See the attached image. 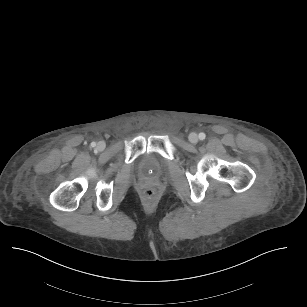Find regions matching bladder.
I'll return each mask as SVG.
<instances>
[{
  "instance_id": "obj_1",
  "label": "bladder",
  "mask_w": 307,
  "mask_h": 307,
  "mask_svg": "<svg viewBox=\"0 0 307 307\" xmlns=\"http://www.w3.org/2000/svg\"><path fill=\"white\" fill-rule=\"evenodd\" d=\"M141 167L147 170H153L156 172H161L164 168V162L161 158L156 155L145 156L140 163Z\"/></svg>"
}]
</instances>
